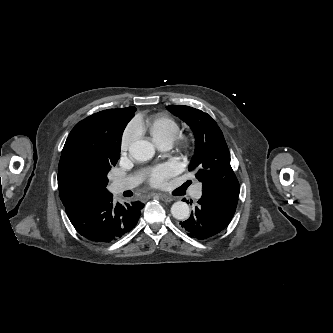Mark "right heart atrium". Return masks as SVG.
I'll list each match as a JSON object with an SVG mask.
<instances>
[{
	"instance_id": "d8ad5b80",
	"label": "right heart atrium",
	"mask_w": 333,
	"mask_h": 333,
	"mask_svg": "<svg viewBox=\"0 0 333 333\" xmlns=\"http://www.w3.org/2000/svg\"><path fill=\"white\" fill-rule=\"evenodd\" d=\"M141 133L140 124L137 120L131 121L125 128L121 139V151L126 152L129 147L139 138Z\"/></svg>"
}]
</instances>
